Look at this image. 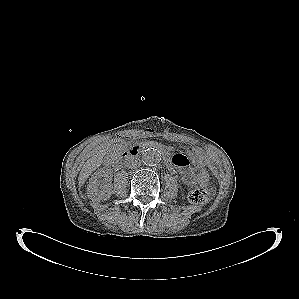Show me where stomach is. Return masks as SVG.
I'll return each instance as SVG.
<instances>
[{
	"label": "stomach",
	"instance_id": "0dacf381",
	"mask_svg": "<svg viewBox=\"0 0 299 299\" xmlns=\"http://www.w3.org/2000/svg\"><path fill=\"white\" fill-rule=\"evenodd\" d=\"M193 157L195 158L196 164H198V165L202 164V156H201L200 152L194 150Z\"/></svg>",
	"mask_w": 299,
	"mask_h": 299
}]
</instances>
